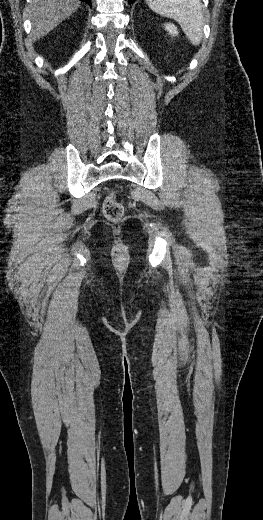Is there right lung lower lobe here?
I'll return each instance as SVG.
<instances>
[{
	"mask_svg": "<svg viewBox=\"0 0 263 520\" xmlns=\"http://www.w3.org/2000/svg\"><path fill=\"white\" fill-rule=\"evenodd\" d=\"M82 1L87 2L91 6V0H82Z\"/></svg>",
	"mask_w": 263,
	"mask_h": 520,
	"instance_id": "right-lung-lower-lobe-1",
	"label": "right lung lower lobe"
}]
</instances>
